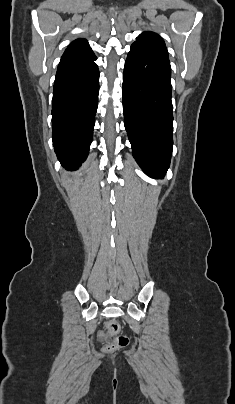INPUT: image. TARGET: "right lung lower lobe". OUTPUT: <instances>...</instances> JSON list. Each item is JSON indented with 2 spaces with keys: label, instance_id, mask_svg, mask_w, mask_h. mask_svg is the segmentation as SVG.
<instances>
[{
  "label": "right lung lower lobe",
  "instance_id": "obj_1",
  "mask_svg": "<svg viewBox=\"0 0 235 404\" xmlns=\"http://www.w3.org/2000/svg\"><path fill=\"white\" fill-rule=\"evenodd\" d=\"M96 56L59 63L52 100L55 152L67 170L86 159L98 106L99 70Z\"/></svg>",
  "mask_w": 235,
  "mask_h": 404
}]
</instances>
